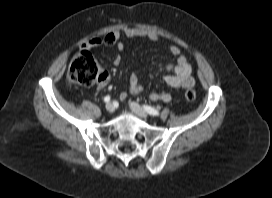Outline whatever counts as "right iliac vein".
<instances>
[{"label":"right iliac vein","instance_id":"1","mask_svg":"<svg viewBox=\"0 0 272 198\" xmlns=\"http://www.w3.org/2000/svg\"><path fill=\"white\" fill-rule=\"evenodd\" d=\"M114 106L112 103H107L106 104V110L109 112V113H112L114 111Z\"/></svg>","mask_w":272,"mask_h":198}]
</instances>
